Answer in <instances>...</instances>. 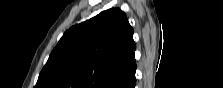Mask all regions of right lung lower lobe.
Masks as SVG:
<instances>
[{"label":"right lung lower lobe","instance_id":"98d812e1","mask_svg":"<svg viewBox=\"0 0 223 88\" xmlns=\"http://www.w3.org/2000/svg\"><path fill=\"white\" fill-rule=\"evenodd\" d=\"M136 84V79L134 78V81L131 83V85L129 86V88H134Z\"/></svg>","mask_w":223,"mask_h":88}]
</instances>
